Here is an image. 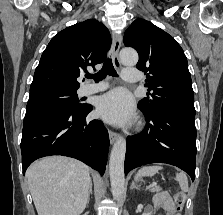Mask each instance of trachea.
Instances as JSON below:
<instances>
[{"instance_id":"3493384b","label":"trachea","mask_w":223,"mask_h":215,"mask_svg":"<svg viewBox=\"0 0 223 215\" xmlns=\"http://www.w3.org/2000/svg\"><path fill=\"white\" fill-rule=\"evenodd\" d=\"M107 75H112V77H117L116 70L113 67L112 61L110 58L105 60L103 67L101 70L95 75H87L86 78H94L95 82H99V80H103Z\"/></svg>"}]
</instances>
